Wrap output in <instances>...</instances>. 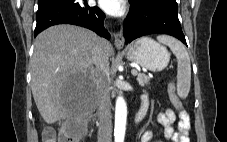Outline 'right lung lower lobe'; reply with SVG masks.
Returning a JSON list of instances; mask_svg holds the SVG:
<instances>
[{
	"instance_id": "right-lung-lower-lobe-1",
	"label": "right lung lower lobe",
	"mask_w": 227,
	"mask_h": 142,
	"mask_svg": "<svg viewBox=\"0 0 227 142\" xmlns=\"http://www.w3.org/2000/svg\"><path fill=\"white\" fill-rule=\"evenodd\" d=\"M104 17L105 14L98 7H89L86 0H62L38 7L34 37L52 25L73 24L86 27L109 40Z\"/></svg>"
}]
</instances>
